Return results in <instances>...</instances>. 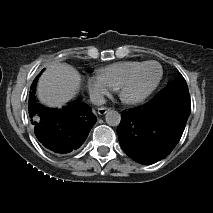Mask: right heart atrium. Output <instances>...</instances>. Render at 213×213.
<instances>
[{"label":"right heart atrium","mask_w":213,"mask_h":213,"mask_svg":"<svg viewBox=\"0 0 213 213\" xmlns=\"http://www.w3.org/2000/svg\"><path fill=\"white\" fill-rule=\"evenodd\" d=\"M86 87L92 98L98 101L102 100L104 96L108 95L113 90L99 75L87 77Z\"/></svg>","instance_id":"1"}]
</instances>
